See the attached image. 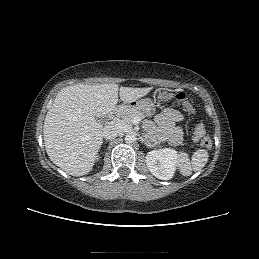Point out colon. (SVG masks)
<instances>
[{
  "instance_id": "obj_1",
  "label": "colon",
  "mask_w": 259,
  "mask_h": 259,
  "mask_svg": "<svg viewBox=\"0 0 259 259\" xmlns=\"http://www.w3.org/2000/svg\"><path fill=\"white\" fill-rule=\"evenodd\" d=\"M176 100L177 102L181 103L185 109L189 112H193V106L190 104V102L187 100L186 96L184 93L180 92L176 95ZM190 121H195V116H190ZM193 141L197 142L200 140L201 143V147L205 150H209L212 147V140L211 138L205 134V128L204 125L199 123L196 128H195V132H194V136H193Z\"/></svg>"
}]
</instances>
